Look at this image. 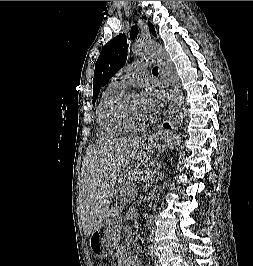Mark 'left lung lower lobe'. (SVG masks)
Here are the masks:
<instances>
[{"label":"left lung lower lobe","instance_id":"1","mask_svg":"<svg viewBox=\"0 0 253 266\" xmlns=\"http://www.w3.org/2000/svg\"><path fill=\"white\" fill-rule=\"evenodd\" d=\"M163 126H164L165 128H170V126H169L168 123H165Z\"/></svg>","mask_w":253,"mask_h":266}]
</instances>
